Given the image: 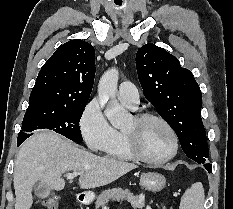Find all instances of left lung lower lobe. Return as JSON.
<instances>
[{
  "label": "left lung lower lobe",
  "mask_w": 233,
  "mask_h": 209,
  "mask_svg": "<svg viewBox=\"0 0 233 209\" xmlns=\"http://www.w3.org/2000/svg\"><path fill=\"white\" fill-rule=\"evenodd\" d=\"M204 166H205V168L207 169V171L210 173V172H212V168H211V165L210 164H205L204 163Z\"/></svg>",
  "instance_id": "0a47b994"
}]
</instances>
